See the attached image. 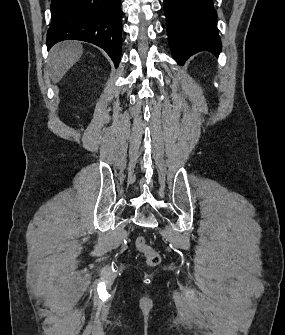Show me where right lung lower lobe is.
I'll use <instances>...</instances> for the list:
<instances>
[{"instance_id": "obj_1", "label": "right lung lower lobe", "mask_w": 285, "mask_h": 335, "mask_svg": "<svg viewBox=\"0 0 285 335\" xmlns=\"http://www.w3.org/2000/svg\"><path fill=\"white\" fill-rule=\"evenodd\" d=\"M120 0H52L47 48L82 40L104 49L117 68L121 58Z\"/></svg>"}]
</instances>
